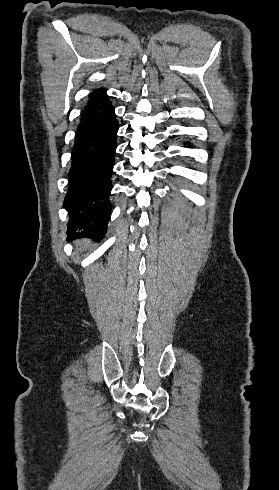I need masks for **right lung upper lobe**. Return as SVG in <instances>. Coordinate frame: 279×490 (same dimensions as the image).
<instances>
[{
	"instance_id": "right-lung-upper-lobe-1",
	"label": "right lung upper lobe",
	"mask_w": 279,
	"mask_h": 490,
	"mask_svg": "<svg viewBox=\"0 0 279 490\" xmlns=\"http://www.w3.org/2000/svg\"><path fill=\"white\" fill-rule=\"evenodd\" d=\"M115 117L114 107L111 105L105 93L101 90L93 91L89 96L88 106L83 113L75 139L102 130L116 122Z\"/></svg>"
}]
</instances>
